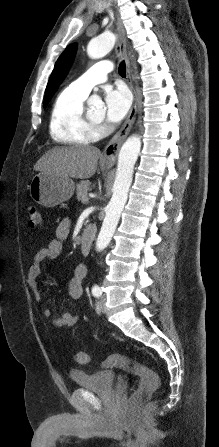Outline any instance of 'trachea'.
I'll list each match as a JSON object with an SVG mask.
<instances>
[{
	"instance_id": "trachea-1",
	"label": "trachea",
	"mask_w": 219,
	"mask_h": 447,
	"mask_svg": "<svg viewBox=\"0 0 219 447\" xmlns=\"http://www.w3.org/2000/svg\"><path fill=\"white\" fill-rule=\"evenodd\" d=\"M118 72H119V75H120V76H122V77H125V76H126V66H125V62H122V63L119 65Z\"/></svg>"
}]
</instances>
